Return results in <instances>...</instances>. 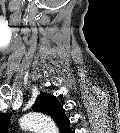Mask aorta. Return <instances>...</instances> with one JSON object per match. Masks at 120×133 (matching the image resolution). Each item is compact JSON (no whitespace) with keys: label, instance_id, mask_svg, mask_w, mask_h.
I'll return each mask as SVG.
<instances>
[{"label":"aorta","instance_id":"762f6f07","mask_svg":"<svg viewBox=\"0 0 120 133\" xmlns=\"http://www.w3.org/2000/svg\"><path fill=\"white\" fill-rule=\"evenodd\" d=\"M48 118L42 113H30L21 118L20 124L23 127H32L34 129H47Z\"/></svg>","mask_w":120,"mask_h":133}]
</instances>
